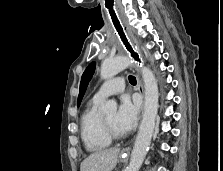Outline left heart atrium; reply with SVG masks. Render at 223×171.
<instances>
[{"label":"left heart atrium","mask_w":223,"mask_h":171,"mask_svg":"<svg viewBox=\"0 0 223 171\" xmlns=\"http://www.w3.org/2000/svg\"><path fill=\"white\" fill-rule=\"evenodd\" d=\"M138 106L128 97L121 100L118 111L116 113V126L122 132L131 131L137 122Z\"/></svg>","instance_id":"obj_1"}]
</instances>
